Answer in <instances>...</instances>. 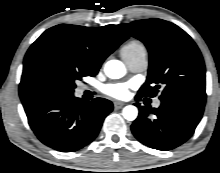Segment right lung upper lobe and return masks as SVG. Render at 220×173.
Returning <instances> with one entry per match:
<instances>
[{
	"label": "right lung upper lobe",
	"instance_id": "right-lung-upper-lobe-1",
	"mask_svg": "<svg viewBox=\"0 0 220 173\" xmlns=\"http://www.w3.org/2000/svg\"><path fill=\"white\" fill-rule=\"evenodd\" d=\"M127 39L116 25L89 28L61 24L46 30L25 55L21 100L48 93L52 79L63 68L97 74L103 61Z\"/></svg>",
	"mask_w": 220,
	"mask_h": 173
}]
</instances>
